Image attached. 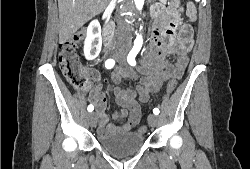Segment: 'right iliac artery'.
<instances>
[{
	"mask_svg": "<svg viewBox=\"0 0 250 169\" xmlns=\"http://www.w3.org/2000/svg\"><path fill=\"white\" fill-rule=\"evenodd\" d=\"M114 65H115V61L113 59H108L105 62V67L107 69H111ZM87 110L89 112H92L94 110V106L93 105H89L88 108H87Z\"/></svg>",
	"mask_w": 250,
	"mask_h": 169,
	"instance_id": "82829eb1",
	"label": "right iliac artery"
}]
</instances>
